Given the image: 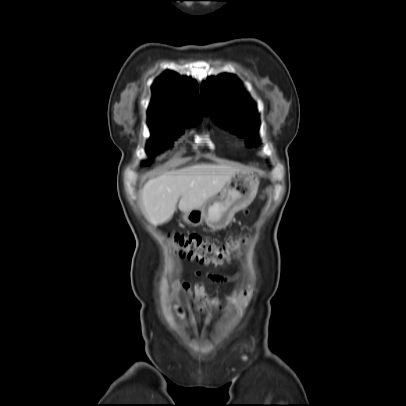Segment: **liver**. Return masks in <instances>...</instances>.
I'll list each match as a JSON object with an SVG mask.
<instances>
[{"label":"liver","mask_w":406,"mask_h":406,"mask_svg":"<svg viewBox=\"0 0 406 406\" xmlns=\"http://www.w3.org/2000/svg\"><path fill=\"white\" fill-rule=\"evenodd\" d=\"M239 171L240 167L225 163H198L149 179L141 190L147 220L155 225L168 222L179 199L184 213L200 208Z\"/></svg>","instance_id":"1"}]
</instances>
